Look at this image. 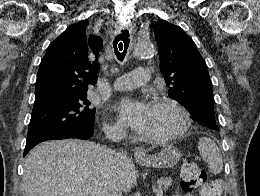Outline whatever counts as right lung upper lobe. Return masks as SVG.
Listing matches in <instances>:
<instances>
[{
    "mask_svg": "<svg viewBox=\"0 0 260 196\" xmlns=\"http://www.w3.org/2000/svg\"><path fill=\"white\" fill-rule=\"evenodd\" d=\"M87 26V20L72 24L49 45L38 71L34 105L61 95L87 93V86L96 83L102 40L88 35Z\"/></svg>",
    "mask_w": 260,
    "mask_h": 196,
    "instance_id": "1",
    "label": "right lung upper lobe"
}]
</instances>
